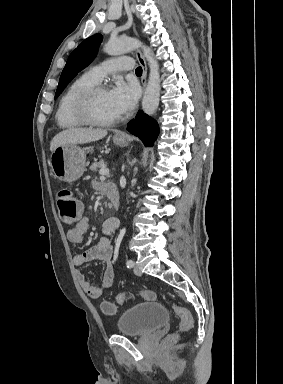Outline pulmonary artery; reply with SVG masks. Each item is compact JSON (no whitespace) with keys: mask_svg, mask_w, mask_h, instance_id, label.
Listing matches in <instances>:
<instances>
[{"mask_svg":"<svg viewBox=\"0 0 283 384\" xmlns=\"http://www.w3.org/2000/svg\"><path fill=\"white\" fill-rule=\"evenodd\" d=\"M132 61H107L106 64L98 65L88 71L85 75L94 83H99L104 76L114 71H132Z\"/></svg>","mask_w":283,"mask_h":384,"instance_id":"1","label":"pulmonary artery"}]
</instances>
